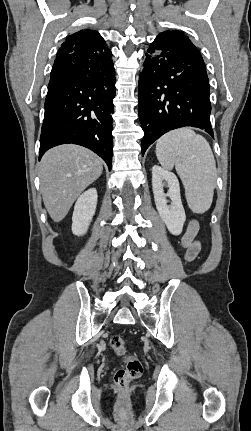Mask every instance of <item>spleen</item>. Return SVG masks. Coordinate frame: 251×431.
<instances>
[{
    "label": "spleen",
    "instance_id": "obj_1",
    "mask_svg": "<svg viewBox=\"0 0 251 431\" xmlns=\"http://www.w3.org/2000/svg\"><path fill=\"white\" fill-rule=\"evenodd\" d=\"M156 156L163 168L175 169L194 213L206 212L216 186V163L209 143L190 128L170 131L158 139Z\"/></svg>",
    "mask_w": 251,
    "mask_h": 431
}]
</instances>
